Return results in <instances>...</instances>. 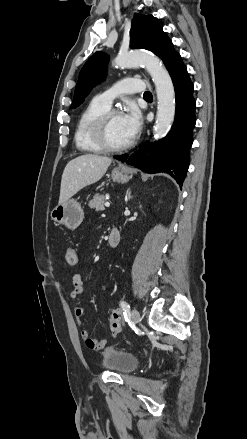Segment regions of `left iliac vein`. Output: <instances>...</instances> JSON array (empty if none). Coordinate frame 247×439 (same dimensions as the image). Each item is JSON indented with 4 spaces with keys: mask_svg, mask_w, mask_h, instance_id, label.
Wrapping results in <instances>:
<instances>
[{
    "mask_svg": "<svg viewBox=\"0 0 247 439\" xmlns=\"http://www.w3.org/2000/svg\"><path fill=\"white\" fill-rule=\"evenodd\" d=\"M132 320L137 323L140 320V313L136 310H132Z\"/></svg>",
    "mask_w": 247,
    "mask_h": 439,
    "instance_id": "1",
    "label": "left iliac vein"
}]
</instances>
